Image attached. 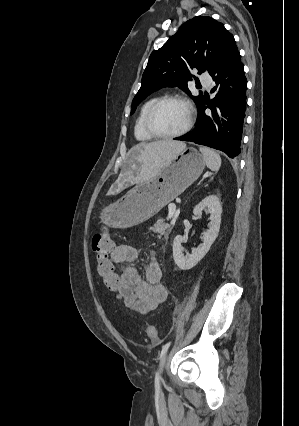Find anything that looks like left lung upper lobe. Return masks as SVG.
<instances>
[{
  "mask_svg": "<svg viewBox=\"0 0 299 426\" xmlns=\"http://www.w3.org/2000/svg\"><path fill=\"white\" fill-rule=\"evenodd\" d=\"M235 50L234 37L222 23L202 16L188 20L151 53L141 87L132 101L131 114L143 99L162 87L178 86L199 105L203 95L192 96L187 87V82L194 78L192 70L211 74Z\"/></svg>",
  "mask_w": 299,
  "mask_h": 426,
  "instance_id": "left-lung-upper-lobe-1",
  "label": "left lung upper lobe"
}]
</instances>
